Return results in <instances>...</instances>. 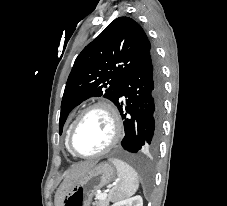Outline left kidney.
I'll return each mask as SVG.
<instances>
[{"instance_id": "5707ae66", "label": "left kidney", "mask_w": 227, "mask_h": 206, "mask_svg": "<svg viewBox=\"0 0 227 206\" xmlns=\"http://www.w3.org/2000/svg\"><path fill=\"white\" fill-rule=\"evenodd\" d=\"M112 206H143V200L141 196H135L132 198L118 201L114 203Z\"/></svg>"}]
</instances>
